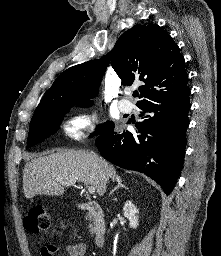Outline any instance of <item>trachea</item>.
<instances>
[{
  "label": "trachea",
  "instance_id": "trachea-1",
  "mask_svg": "<svg viewBox=\"0 0 221 256\" xmlns=\"http://www.w3.org/2000/svg\"><path fill=\"white\" fill-rule=\"evenodd\" d=\"M139 96V93L136 91L133 93V97H138Z\"/></svg>",
  "mask_w": 221,
  "mask_h": 256
}]
</instances>
